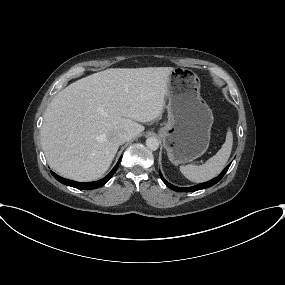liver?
I'll return each instance as SVG.
<instances>
[{
	"label": "liver",
	"instance_id": "liver-1",
	"mask_svg": "<svg viewBox=\"0 0 285 285\" xmlns=\"http://www.w3.org/2000/svg\"><path fill=\"white\" fill-rule=\"evenodd\" d=\"M172 67L110 68L70 84L48 105L41 143L48 164L60 175L93 181L109 168L119 144L113 132L129 140L160 117Z\"/></svg>",
	"mask_w": 285,
	"mask_h": 285
}]
</instances>
